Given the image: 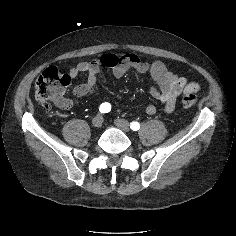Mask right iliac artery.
I'll use <instances>...</instances> for the list:
<instances>
[{"instance_id": "1", "label": "right iliac artery", "mask_w": 236, "mask_h": 236, "mask_svg": "<svg viewBox=\"0 0 236 236\" xmlns=\"http://www.w3.org/2000/svg\"><path fill=\"white\" fill-rule=\"evenodd\" d=\"M111 110V105L107 102L100 105L99 111L101 113H108Z\"/></svg>"}]
</instances>
